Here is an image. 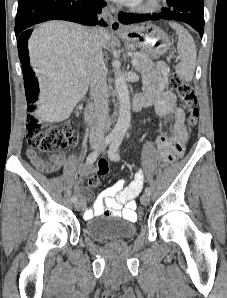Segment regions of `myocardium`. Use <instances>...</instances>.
Masks as SVG:
<instances>
[{"label": "myocardium", "instance_id": "obj_1", "mask_svg": "<svg viewBox=\"0 0 227 298\" xmlns=\"http://www.w3.org/2000/svg\"><path fill=\"white\" fill-rule=\"evenodd\" d=\"M162 0H139L132 4V9L139 13H154L161 8Z\"/></svg>", "mask_w": 227, "mask_h": 298}]
</instances>
